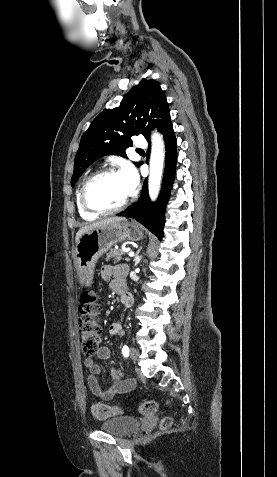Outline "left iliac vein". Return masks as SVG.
Returning a JSON list of instances; mask_svg holds the SVG:
<instances>
[{"instance_id":"4c4485c4","label":"left iliac vein","mask_w":277,"mask_h":477,"mask_svg":"<svg viewBox=\"0 0 277 477\" xmlns=\"http://www.w3.org/2000/svg\"><path fill=\"white\" fill-rule=\"evenodd\" d=\"M138 357H139V351L132 347L130 349V358L133 360V361H137L138 360Z\"/></svg>"}]
</instances>
